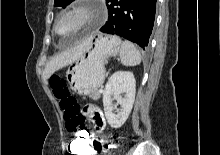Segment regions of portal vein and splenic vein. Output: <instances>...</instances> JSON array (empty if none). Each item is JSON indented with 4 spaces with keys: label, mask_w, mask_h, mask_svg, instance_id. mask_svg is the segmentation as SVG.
<instances>
[{
    "label": "portal vein and splenic vein",
    "mask_w": 220,
    "mask_h": 155,
    "mask_svg": "<svg viewBox=\"0 0 220 155\" xmlns=\"http://www.w3.org/2000/svg\"><path fill=\"white\" fill-rule=\"evenodd\" d=\"M99 92H100V93H102V92H103V90H102V89H99Z\"/></svg>",
    "instance_id": "1"
}]
</instances>
